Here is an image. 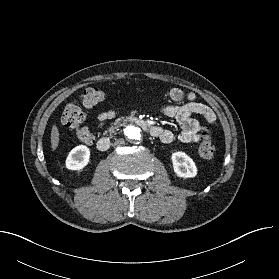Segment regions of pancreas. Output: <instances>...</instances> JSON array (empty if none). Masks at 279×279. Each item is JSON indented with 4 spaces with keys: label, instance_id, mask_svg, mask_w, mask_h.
<instances>
[{
    "label": "pancreas",
    "instance_id": "1",
    "mask_svg": "<svg viewBox=\"0 0 279 279\" xmlns=\"http://www.w3.org/2000/svg\"><path fill=\"white\" fill-rule=\"evenodd\" d=\"M118 122H114L112 125H111V127L108 129V131H109V133H110V136L112 135V134H114L115 132H116V130L118 129ZM107 133V131H105V134Z\"/></svg>",
    "mask_w": 279,
    "mask_h": 279
}]
</instances>
